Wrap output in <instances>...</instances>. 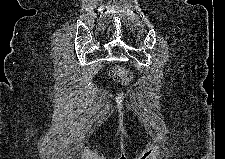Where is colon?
I'll list each match as a JSON object with an SVG mask.
<instances>
[{
  "label": "colon",
  "mask_w": 225,
  "mask_h": 159,
  "mask_svg": "<svg viewBox=\"0 0 225 159\" xmlns=\"http://www.w3.org/2000/svg\"><path fill=\"white\" fill-rule=\"evenodd\" d=\"M109 75L113 78H121L124 82H128L131 78V74L121 67H112L109 70Z\"/></svg>",
  "instance_id": "5ec220e1"
}]
</instances>
